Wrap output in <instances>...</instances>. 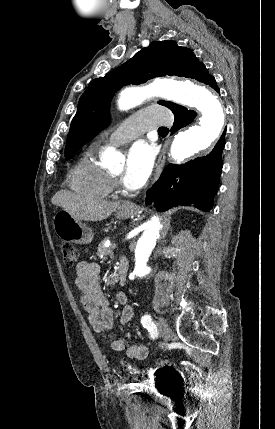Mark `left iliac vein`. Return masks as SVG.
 <instances>
[{
	"label": "left iliac vein",
	"instance_id": "left-iliac-vein-1",
	"mask_svg": "<svg viewBox=\"0 0 275 429\" xmlns=\"http://www.w3.org/2000/svg\"><path fill=\"white\" fill-rule=\"evenodd\" d=\"M159 334L165 339H170L172 335L171 328L164 318H159L157 322Z\"/></svg>",
	"mask_w": 275,
	"mask_h": 429
}]
</instances>
